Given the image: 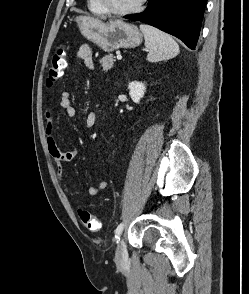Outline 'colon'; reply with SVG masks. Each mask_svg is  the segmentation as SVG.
I'll use <instances>...</instances> for the list:
<instances>
[{
  "label": "colon",
  "mask_w": 249,
  "mask_h": 294,
  "mask_svg": "<svg viewBox=\"0 0 249 294\" xmlns=\"http://www.w3.org/2000/svg\"><path fill=\"white\" fill-rule=\"evenodd\" d=\"M66 50L60 47L54 53L47 75V83L49 85L57 82L62 77L66 68ZM80 219L86 229L89 231H98L101 228L100 221L87 210L79 211Z\"/></svg>",
  "instance_id": "5ec220e1"
}]
</instances>
